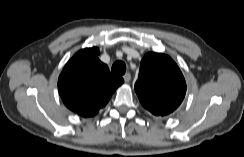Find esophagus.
<instances>
[{"instance_id": "34e87169", "label": "esophagus", "mask_w": 244, "mask_h": 157, "mask_svg": "<svg viewBox=\"0 0 244 157\" xmlns=\"http://www.w3.org/2000/svg\"><path fill=\"white\" fill-rule=\"evenodd\" d=\"M123 79L126 83H128L131 80V74L130 73L124 74Z\"/></svg>"}]
</instances>
